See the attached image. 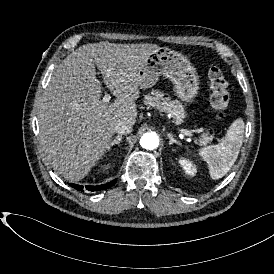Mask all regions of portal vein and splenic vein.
<instances>
[{
	"label": "portal vein and splenic vein",
	"instance_id": "obj_1",
	"mask_svg": "<svg viewBox=\"0 0 274 274\" xmlns=\"http://www.w3.org/2000/svg\"><path fill=\"white\" fill-rule=\"evenodd\" d=\"M111 99V95L110 94H105L104 98H103V101L104 102H109ZM185 135L189 136V137H192L193 134L191 132H188V131H184Z\"/></svg>",
	"mask_w": 274,
	"mask_h": 274
}]
</instances>
